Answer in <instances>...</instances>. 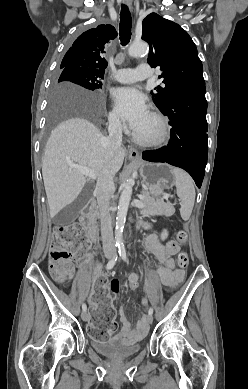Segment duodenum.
Here are the masks:
<instances>
[{
  "label": "duodenum",
  "instance_id": "410a0bca",
  "mask_svg": "<svg viewBox=\"0 0 248 389\" xmlns=\"http://www.w3.org/2000/svg\"><path fill=\"white\" fill-rule=\"evenodd\" d=\"M98 215V209L97 206L94 203H91L89 210L84 213L81 218L80 222L85 230L87 236L93 241H96L97 232L95 227V222Z\"/></svg>",
  "mask_w": 248,
  "mask_h": 389
}]
</instances>
